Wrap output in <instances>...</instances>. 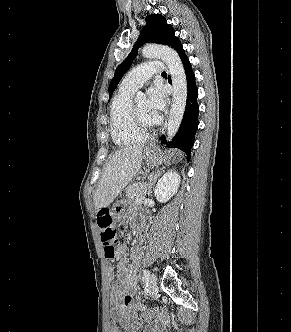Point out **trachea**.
I'll return each mask as SVG.
<instances>
[{
	"label": "trachea",
	"instance_id": "3493384b",
	"mask_svg": "<svg viewBox=\"0 0 291 332\" xmlns=\"http://www.w3.org/2000/svg\"><path fill=\"white\" fill-rule=\"evenodd\" d=\"M162 75H167V74L164 72V73H162Z\"/></svg>",
	"mask_w": 291,
	"mask_h": 332
}]
</instances>
